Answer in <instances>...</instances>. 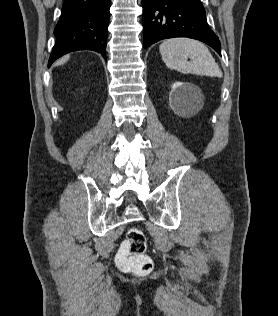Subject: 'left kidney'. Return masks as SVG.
<instances>
[{
    "mask_svg": "<svg viewBox=\"0 0 278 316\" xmlns=\"http://www.w3.org/2000/svg\"><path fill=\"white\" fill-rule=\"evenodd\" d=\"M201 91L191 83L175 82L169 93V103L172 109L184 111L190 109L200 102Z\"/></svg>",
    "mask_w": 278,
    "mask_h": 316,
    "instance_id": "5707ae66",
    "label": "left kidney"
}]
</instances>
